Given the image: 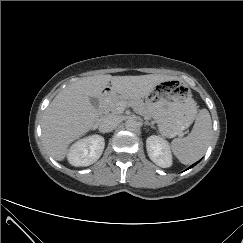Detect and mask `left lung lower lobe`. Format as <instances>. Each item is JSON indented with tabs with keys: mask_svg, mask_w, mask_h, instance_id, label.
<instances>
[{
	"mask_svg": "<svg viewBox=\"0 0 243 243\" xmlns=\"http://www.w3.org/2000/svg\"><path fill=\"white\" fill-rule=\"evenodd\" d=\"M197 163L193 164L192 166H190L189 168L193 167L194 165H196Z\"/></svg>",
	"mask_w": 243,
	"mask_h": 243,
	"instance_id": "obj_1",
	"label": "left lung lower lobe"
}]
</instances>
